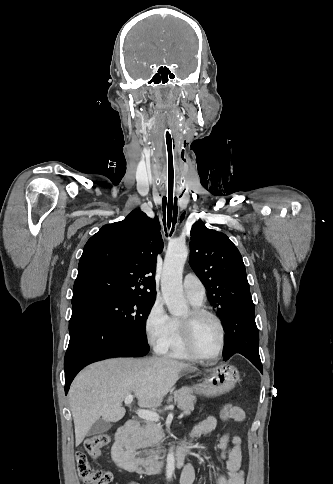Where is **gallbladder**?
<instances>
[{
  "label": "gallbladder",
  "instance_id": "gallbladder-1",
  "mask_svg": "<svg viewBox=\"0 0 333 484\" xmlns=\"http://www.w3.org/2000/svg\"><path fill=\"white\" fill-rule=\"evenodd\" d=\"M111 426L112 424L110 421L99 419L91 426L88 435H100L106 433Z\"/></svg>",
  "mask_w": 333,
  "mask_h": 484
}]
</instances>
